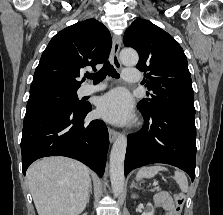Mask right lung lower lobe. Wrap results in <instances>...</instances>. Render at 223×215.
<instances>
[{
    "label": "right lung lower lobe",
    "instance_id": "obj_1",
    "mask_svg": "<svg viewBox=\"0 0 223 215\" xmlns=\"http://www.w3.org/2000/svg\"><path fill=\"white\" fill-rule=\"evenodd\" d=\"M90 104L25 116L21 139L23 174L35 160L61 155L77 159L102 176L109 145L103 121L84 123Z\"/></svg>",
    "mask_w": 223,
    "mask_h": 215
}]
</instances>
